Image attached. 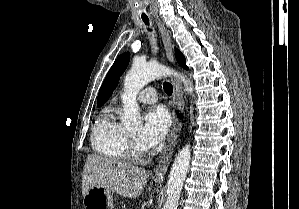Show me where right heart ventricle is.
<instances>
[{
  "label": "right heart ventricle",
  "mask_w": 299,
  "mask_h": 209,
  "mask_svg": "<svg viewBox=\"0 0 299 209\" xmlns=\"http://www.w3.org/2000/svg\"><path fill=\"white\" fill-rule=\"evenodd\" d=\"M91 143L94 151L113 160L127 159V132L109 109L93 126Z\"/></svg>",
  "instance_id": "1"
}]
</instances>
